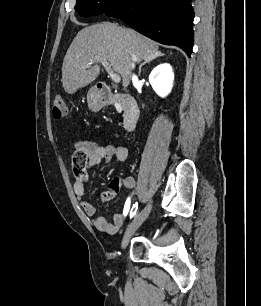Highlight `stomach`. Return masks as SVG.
<instances>
[{
	"instance_id": "1",
	"label": "stomach",
	"mask_w": 261,
	"mask_h": 306,
	"mask_svg": "<svg viewBox=\"0 0 261 306\" xmlns=\"http://www.w3.org/2000/svg\"><path fill=\"white\" fill-rule=\"evenodd\" d=\"M88 107L92 111H98L103 106L101 95L94 89H90L87 94Z\"/></svg>"
}]
</instances>
